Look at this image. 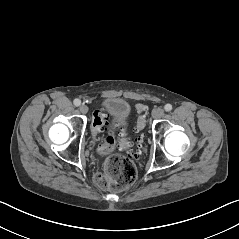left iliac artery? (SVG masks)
Here are the masks:
<instances>
[{
	"label": "left iliac artery",
	"instance_id": "left-iliac-artery-1",
	"mask_svg": "<svg viewBox=\"0 0 239 239\" xmlns=\"http://www.w3.org/2000/svg\"><path fill=\"white\" fill-rule=\"evenodd\" d=\"M164 109H165V111L169 112V111L172 110V105H171V104H166V105L164 106Z\"/></svg>",
	"mask_w": 239,
	"mask_h": 239
}]
</instances>
